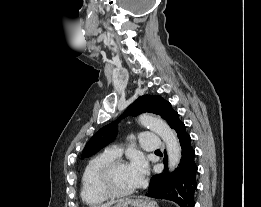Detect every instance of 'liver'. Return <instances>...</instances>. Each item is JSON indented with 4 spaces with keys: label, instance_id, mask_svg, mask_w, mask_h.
Here are the masks:
<instances>
[{
    "label": "liver",
    "instance_id": "1",
    "mask_svg": "<svg viewBox=\"0 0 261 207\" xmlns=\"http://www.w3.org/2000/svg\"><path fill=\"white\" fill-rule=\"evenodd\" d=\"M122 200H119V201H111V202H107L105 204H102V205H98V206H94V207H110L111 205L117 203V202H120Z\"/></svg>",
    "mask_w": 261,
    "mask_h": 207
}]
</instances>
